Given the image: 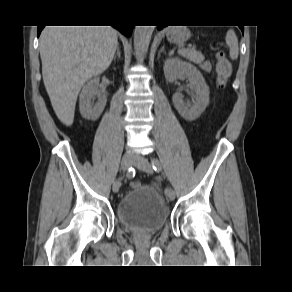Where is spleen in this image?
Instances as JSON below:
<instances>
[{"label":"spleen","instance_id":"1","mask_svg":"<svg viewBox=\"0 0 292 292\" xmlns=\"http://www.w3.org/2000/svg\"><path fill=\"white\" fill-rule=\"evenodd\" d=\"M226 44L229 47V55L232 60L238 58V39L233 30H229L226 35Z\"/></svg>","mask_w":292,"mask_h":292}]
</instances>
